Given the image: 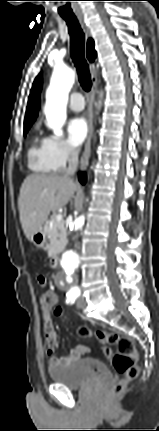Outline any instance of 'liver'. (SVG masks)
Wrapping results in <instances>:
<instances>
[{"label": "liver", "instance_id": "liver-1", "mask_svg": "<svg viewBox=\"0 0 159 431\" xmlns=\"http://www.w3.org/2000/svg\"><path fill=\"white\" fill-rule=\"evenodd\" d=\"M77 184L57 174H31L26 177L18 198L20 222L28 240L42 230L50 212L63 208L74 196Z\"/></svg>", "mask_w": 159, "mask_h": 431}]
</instances>
